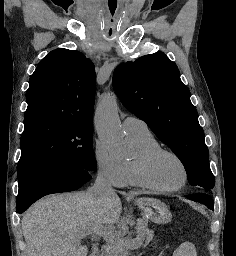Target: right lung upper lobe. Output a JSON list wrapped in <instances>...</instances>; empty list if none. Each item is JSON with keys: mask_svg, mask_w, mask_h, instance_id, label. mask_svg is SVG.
I'll return each mask as SVG.
<instances>
[{"mask_svg": "<svg viewBox=\"0 0 236 256\" xmlns=\"http://www.w3.org/2000/svg\"><path fill=\"white\" fill-rule=\"evenodd\" d=\"M94 64L82 53L56 49L38 64L26 92L24 121L37 118L93 122Z\"/></svg>", "mask_w": 236, "mask_h": 256, "instance_id": "right-lung-upper-lobe-1", "label": "right lung upper lobe"}]
</instances>
